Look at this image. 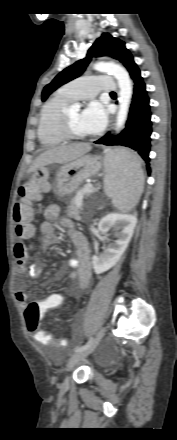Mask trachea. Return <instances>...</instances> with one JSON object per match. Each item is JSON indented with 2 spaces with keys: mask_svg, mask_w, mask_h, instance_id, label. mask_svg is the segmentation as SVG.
Listing matches in <instances>:
<instances>
[{
  "mask_svg": "<svg viewBox=\"0 0 177 440\" xmlns=\"http://www.w3.org/2000/svg\"><path fill=\"white\" fill-rule=\"evenodd\" d=\"M110 94H111V95H115V92H111Z\"/></svg>",
  "mask_w": 177,
  "mask_h": 440,
  "instance_id": "3493384b",
  "label": "trachea"
}]
</instances>
